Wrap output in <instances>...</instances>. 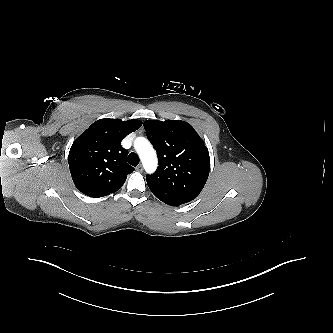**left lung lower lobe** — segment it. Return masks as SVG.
<instances>
[{
  "label": "left lung lower lobe",
  "instance_id": "1",
  "mask_svg": "<svg viewBox=\"0 0 333 333\" xmlns=\"http://www.w3.org/2000/svg\"><path fill=\"white\" fill-rule=\"evenodd\" d=\"M164 202L168 205H171V206H179L181 204H184V203H187V202H190V201H185V200H181V199H167V200H164Z\"/></svg>",
  "mask_w": 333,
  "mask_h": 333
}]
</instances>
